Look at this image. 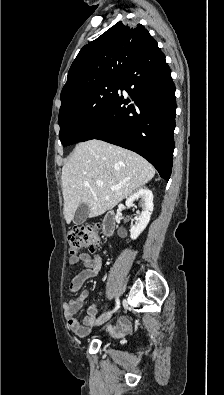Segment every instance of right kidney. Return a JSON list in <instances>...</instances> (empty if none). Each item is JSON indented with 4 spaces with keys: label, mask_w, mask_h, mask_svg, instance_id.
I'll return each instance as SVG.
<instances>
[{
    "label": "right kidney",
    "mask_w": 224,
    "mask_h": 395,
    "mask_svg": "<svg viewBox=\"0 0 224 395\" xmlns=\"http://www.w3.org/2000/svg\"><path fill=\"white\" fill-rule=\"evenodd\" d=\"M141 199L143 210L139 216L134 218L135 223L131 225L130 237L132 240L138 238V236L143 232L150 221V216L153 211V193L147 188H142L136 191L134 194L129 196L126 200V206L131 208L134 206V201Z\"/></svg>",
    "instance_id": "obj_1"
}]
</instances>
